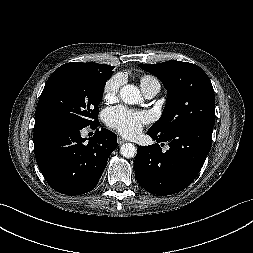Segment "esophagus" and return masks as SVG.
<instances>
[{
	"label": "esophagus",
	"instance_id": "esophagus-1",
	"mask_svg": "<svg viewBox=\"0 0 253 253\" xmlns=\"http://www.w3.org/2000/svg\"><path fill=\"white\" fill-rule=\"evenodd\" d=\"M125 142H126L125 139H123V138H121V137L118 138V144H119V145H121V144H123V143H125Z\"/></svg>",
	"mask_w": 253,
	"mask_h": 253
}]
</instances>
